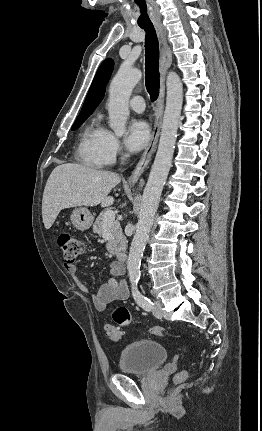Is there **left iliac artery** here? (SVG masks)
<instances>
[{"label": "left iliac artery", "mask_w": 262, "mask_h": 431, "mask_svg": "<svg viewBox=\"0 0 262 431\" xmlns=\"http://www.w3.org/2000/svg\"><path fill=\"white\" fill-rule=\"evenodd\" d=\"M137 283H138V281L132 283V294H133L134 300L137 302V304L140 307H142L146 311H151V309L153 307V303L151 302V300L149 298L144 296L139 291V289L137 287Z\"/></svg>", "instance_id": "44dca946"}]
</instances>
